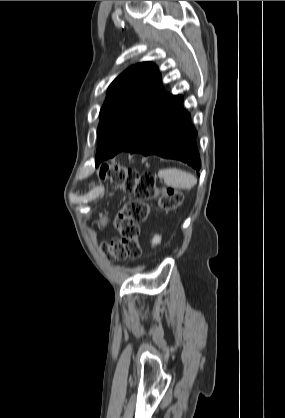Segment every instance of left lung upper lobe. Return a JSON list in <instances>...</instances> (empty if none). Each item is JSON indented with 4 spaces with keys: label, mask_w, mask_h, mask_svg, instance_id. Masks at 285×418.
<instances>
[{
    "label": "left lung upper lobe",
    "mask_w": 285,
    "mask_h": 418,
    "mask_svg": "<svg viewBox=\"0 0 285 418\" xmlns=\"http://www.w3.org/2000/svg\"><path fill=\"white\" fill-rule=\"evenodd\" d=\"M167 95L151 62L129 67L111 83L100 111L96 167L104 160L99 158L101 152L107 151L111 158L127 147Z\"/></svg>",
    "instance_id": "5c2ea615"
}]
</instances>
